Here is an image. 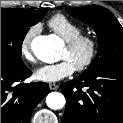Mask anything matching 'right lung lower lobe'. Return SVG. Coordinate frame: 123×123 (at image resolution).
Wrapping results in <instances>:
<instances>
[{
  "label": "right lung lower lobe",
  "instance_id": "obj_1",
  "mask_svg": "<svg viewBox=\"0 0 123 123\" xmlns=\"http://www.w3.org/2000/svg\"><path fill=\"white\" fill-rule=\"evenodd\" d=\"M30 75L25 65L1 66V123H30L35 106L50 92L47 83H23Z\"/></svg>",
  "mask_w": 123,
  "mask_h": 123
}]
</instances>
